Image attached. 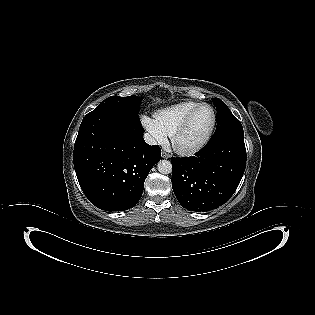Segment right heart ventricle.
Here are the masks:
<instances>
[{"label":"right heart ventricle","mask_w":315,"mask_h":315,"mask_svg":"<svg viewBox=\"0 0 315 315\" xmlns=\"http://www.w3.org/2000/svg\"><path fill=\"white\" fill-rule=\"evenodd\" d=\"M198 104L200 103L191 100L179 102L159 110L155 113L154 118L165 133L172 136L186 115Z\"/></svg>","instance_id":"e07e8e85"}]
</instances>
